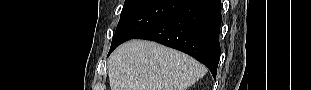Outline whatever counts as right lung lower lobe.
I'll return each instance as SVG.
<instances>
[{
	"label": "right lung lower lobe",
	"instance_id": "1",
	"mask_svg": "<svg viewBox=\"0 0 311 90\" xmlns=\"http://www.w3.org/2000/svg\"><path fill=\"white\" fill-rule=\"evenodd\" d=\"M221 19L220 0H188L171 16L136 38L185 52L206 65L216 78Z\"/></svg>",
	"mask_w": 311,
	"mask_h": 90
}]
</instances>
